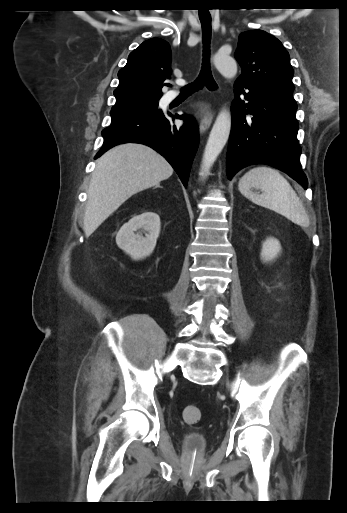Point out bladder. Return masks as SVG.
<instances>
[{"instance_id":"bladder-1","label":"bladder","mask_w":347,"mask_h":513,"mask_svg":"<svg viewBox=\"0 0 347 513\" xmlns=\"http://www.w3.org/2000/svg\"><path fill=\"white\" fill-rule=\"evenodd\" d=\"M183 447L191 453H203L207 448V439L204 435L196 432H188L183 439Z\"/></svg>"}]
</instances>
